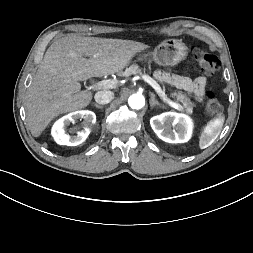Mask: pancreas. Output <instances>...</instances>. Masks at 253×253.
I'll use <instances>...</instances> for the list:
<instances>
[{
    "instance_id": "1",
    "label": "pancreas",
    "mask_w": 253,
    "mask_h": 253,
    "mask_svg": "<svg viewBox=\"0 0 253 253\" xmlns=\"http://www.w3.org/2000/svg\"><path fill=\"white\" fill-rule=\"evenodd\" d=\"M123 76L128 77L130 75H142V70L137 64H133L122 73ZM177 102L182 104L181 109L184 110L187 114H192L193 107L195 106L193 102L181 91L173 92L171 94Z\"/></svg>"
}]
</instances>
